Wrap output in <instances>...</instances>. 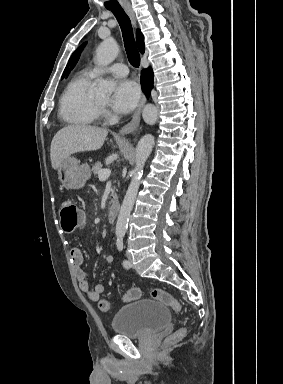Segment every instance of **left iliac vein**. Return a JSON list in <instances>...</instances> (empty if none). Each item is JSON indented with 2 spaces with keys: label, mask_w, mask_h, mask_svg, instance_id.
Segmentation results:
<instances>
[{
  "label": "left iliac vein",
  "mask_w": 283,
  "mask_h": 384,
  "mask_svg": "<svg viewBox=\"0 0 283 384\" xmlns=\"http://www.w3.org/2000/svg\"><path fill=\"white\" fill-rule=\"evenodd\" d=\"M126 256L128 258V261H129V264H130V267H133V264H132V256L129 252H126Z\"/></svg>",
  "instance_id": "4c4485c4"
}]
</instances>
